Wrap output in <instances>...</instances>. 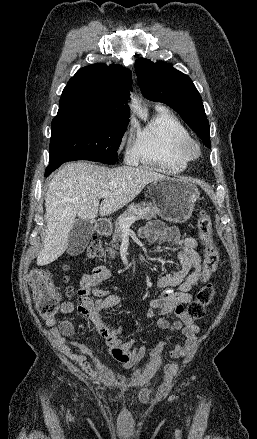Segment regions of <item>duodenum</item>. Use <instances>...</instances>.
Listing matches in <instances>:
<instances>
[{"label": "duodenum", "mask_w": 257, "mask_h": 439, "mask_svg": "<svg viewBox=\"0 0 257 439\" xmlns=\"http://www.w3.org/2000/svg\"><path fill=\"white\" fill-rule=\"evenodd\" d=\"M96 231L100 236L108 235L110 231V223L105 220H99L96 222Z\"/></svg>", "instance_id": "duodenum-1"}]
</instances>
